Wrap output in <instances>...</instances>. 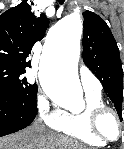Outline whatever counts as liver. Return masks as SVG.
<instances>
[{"label":"liver","instance_id":"6515ba94","mask_svg":"<svg viewBox=\"0 0 124 149\" xmlns=\"http://www.w3.org/2000/svg\"><path fill=\"white\" fill-rule=\"evenodd\" d=\"M87 149L79 142L47 132L42 127H30L0 138V149Z\"/></svg>","mask_w":124,"mask_h":149}]
</instances>
